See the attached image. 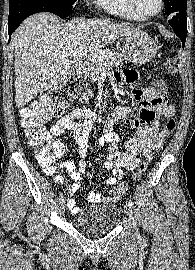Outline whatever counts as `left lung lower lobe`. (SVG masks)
<instances>
[{
	"label": "left lung lower lobe",
	"mask_w": 195,
	"mask_h": 270,
	"mask_svg": "<svg viewBox=\"0 0 195 270\" xmlns=\"http://www.w3.org/2000/svg\"><path fill=\"white\" fill-rule=\"evenodd\" d=\"M169 24L173 28L175 34L181 39L183 49L187 36V19L186 13L177 12L169 17Z\"/></svg>",
	"instance_id": "obj_1"
}]
</instances>
